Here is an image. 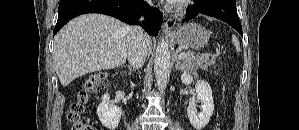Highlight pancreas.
I'll list each match as a JSON object with an SVG mask.
<instances>
[{"instance_id":"pancreas-1","label":"pancreas","mask_w":299,"mask_h":130,"mask_svg":"<svg viewBox=\"0 0 299 130\" xmlns=\"http://www.w3.org/2000/svg\"><path fill=\"white\" fill-rule=\"evenodd\" d=\"M185 57L182 59V68L194 71L197 69L206 70L208 66L215 64V57L206 56L202 54L195 55L192 52L185 53Z\"/></svg>"}]
</instances>
